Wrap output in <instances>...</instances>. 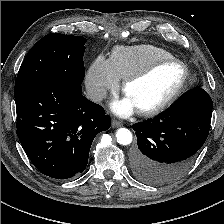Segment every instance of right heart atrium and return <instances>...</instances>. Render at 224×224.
<instances>
[{"label": "right heart atrium", "instance_id": "obj_1", "mask_svg": "<svg viewBox=\"0 0 224 224\" xmlns=\"http://www.w3.org/2000/svg\"><path fill=\"white\" fill-rule=\"evenodd\" d=\"M85 84L90 98L99 102L109 91L113 92L119 88L120 79L115 74L110 60L99 56L90 65Z\"/></svg>", "mask_w": 224, "mask_h": 224}]
</instances>
